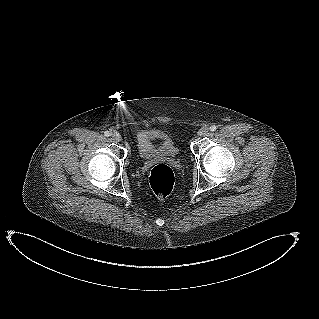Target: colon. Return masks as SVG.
<instances>
[{"mask_svg": "<svg viewBox=\"0 0 319 319\" xmlns=\"http://www.w3.org/2000/svg\"><path fill=\"white\" fill-rule=\"evenodd\" d=\"M149 181L155 195L159 198H166L174 187V172L168 165L158 164L152 168Z\"/></svg>", "mask_w": 319, "mask_h": 319, "instance_id": "5ec220e1", "label": "colon"}]
</instances>
